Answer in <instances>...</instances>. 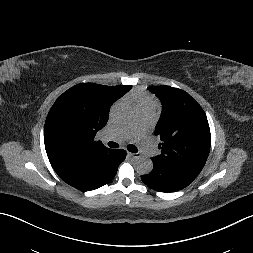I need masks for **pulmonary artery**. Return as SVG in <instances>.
I'll use <instances>...</instances> for the list:
<instances>
[{
    "mask_svg": "<svg viewBox=\"0 0 253 253\" xmlns=\"http://www.w3.org/2000/svg\"><path fill=\"white\" fill-rule=\"evenodd\" d=\"M154 115L153 108H139L136 112L135 127L138 129V142L141 150L146 156H154L156 154V148L147 138V130L150 125L151 119ZM130 136L129 130H121L115 134H105L103 136L104 141H122Z\"/></svg>",
    "mask_w": 253,
    "mask_h": 253,
    "instance_id": "obj_1",
    "label": "pulmonary artery"
}]
</instances>
